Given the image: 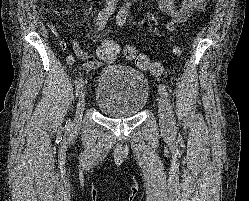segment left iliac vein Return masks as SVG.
I'll return each mask as SVG.
<instances>
[{
    "instance_id": "left-iliac-vein-1",
    "label": "left iliac vein",
    "mask_w": 249,
    "mask_h": 201,
    "mask_svg": "<svg viewBox=\"0 0 249 201\" xmlns=\"http://www.w3.org/2000/svg\"><path fill=\"white\" fill-rule=\"evenodd\" d=\"M158 113H159V123L162 130L167 131L169 127V122L167 118L165 102L162 97L158 98Z\"/></svg>"
}]
</instances>
